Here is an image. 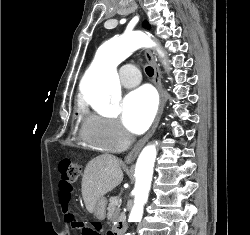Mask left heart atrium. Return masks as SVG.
Here are the masks:
<instances>
[{
	"mask_svg": "<svg viewBox=\"0 0 250 235\" xmlns=\"http://www.w3.org/2000/svg\"><path fill=\"white\" fill-rule=\"evenodd\" d=\"M157 109L154 91L140 87L129 93L122 103V120L126 128L134 134L144 132L151 124Z\"/></svg>",
	"mask_w": 250,
	"mask_h": 235,
	"instance_id": "1",
	"label": "left heart atrium"
}]
</instances>
